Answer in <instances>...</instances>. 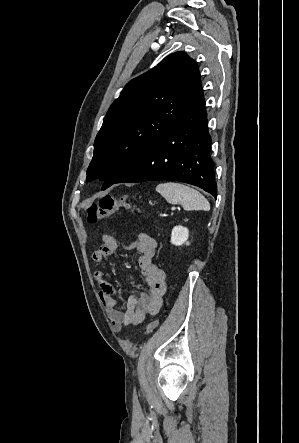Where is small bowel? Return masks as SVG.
Returning a JSON list of instances; mask_svg holds the SVG:
<instances>
[{
  "mask_svg": "<svg viewBox=\"0 0 299 443\" xmlns=\"http://www.w3.org/2000/svg\"><path fill=\"white\" fill-rule=\"evenodd\" d=\"M119 248L138 251L137 263L141 274L146 279L147 289L131 294L127 300L126 311H122L117 307V300L114 297L115 289L107 281L106 273L103 270L94 272L99 297L116 331H121L124 327L140 325L147 314L156 315L162 307L166 291V275L153 263L157 250V242L154 238L146 233H140L135 241L123 244L116 237L104 234L101 246L93 253L94 262L102 263L108 257L118 259Z\"/></svg>",
  "mask_w": 299,
  "mask_h": 443,
  "instance_id": "obj_1",
  "label": "small bowel"
}]
</instances>
